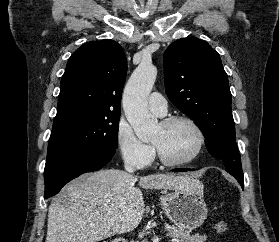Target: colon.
<instances>
[{
	"label": "colon",
	"mask_w": 279,
	"mask_h": 242,
	"mask_svg": "<svg viewBox=\"0 0 279 242\" xmlns=\"http://www.w3.org/2000/svg\"><path fill=\"white\" fill-rule=\"evenodd\" d=\"M215 228H216V231L219 233V234H225L227 231H228V225L225 221H218L215 225ZM101 242H107V241H101Z\"/></svg>",
	"instance_id": "colon-1"
}]
</instances>
